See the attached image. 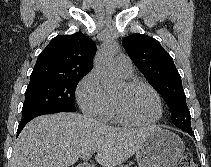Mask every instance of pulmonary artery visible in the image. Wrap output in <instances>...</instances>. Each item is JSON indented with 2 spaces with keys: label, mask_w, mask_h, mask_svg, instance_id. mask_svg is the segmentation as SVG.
Listing matches in <instances>:
<instances>
[{
  "label": "pulmonary artery",
  "mask_w": 211,
  "mask_h": 167,
  "mask_svg": "<svg viewBox=\"0 0 211 167\" xmlns=\"http://www.w3.org/2000/svg\"><path fill=\"white\" fill-rule=\"evenodd\" d=\"M114 67L123 76H129L132 73V62L125 55H119L115 58Z\"/></svg>",
  "instance_id": "pulmonary-artery-1"
}]
</instances>
